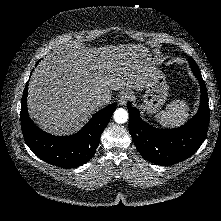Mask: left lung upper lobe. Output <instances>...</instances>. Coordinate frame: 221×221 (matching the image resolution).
I'll return each instance as SVG.
<instances>
[{
  "label": "left lung upper lobe",
  "instance_id": "obj_1",
  "mask_svg": "<svg viewBox=\"0 0 221 221\" xmlns=\"http://www.w3.org/2000/svg\"><path fill=\"white\" fill-rule=\"evenodd\" d=\"M189 64L194 73H200L199 67L192 58L189 59Z\"/></svg>",
  "mask_w": 221,
  "mask_h": 221
}]
</instances>
